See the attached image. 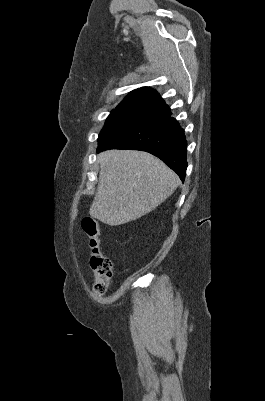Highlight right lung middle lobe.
Wrapping results in <instances>:
<instances>
[{"instance_id": "dd1d6c3e", "label": "right lung middle lobe", "mask_w": 265, "mask_h": 401, "mask_svg": "<svg viewBox=\"0 0 265 401\" xmlns=\"http://www.w3.org/2000/svg\"><path fill=\"white\" fill-rule=\"evenodd\" d=\"M163 108L151 104L118 105L108 116L98 137V144L106 143L126 128L146 119Z\"/></svg>"}]
</instances>
